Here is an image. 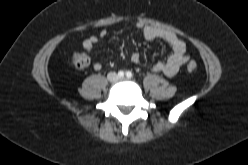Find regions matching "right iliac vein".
I'll list each match as a JSON object with an SVG mask.
<instances>
[{
    "label": "right iliac vein",
    "instance_id": "right-iliac-vein-1",
    "mask_svg": "<svg viewBox=\"0 0 248 165\" xmlns=\"http://www.w3.org/2000/svg\"><path fill=\"white\" fill-rule=\"evenodd\" d=\"M108 78H109V80H111V81H112V80H114V79L116 78V76H115L114 74H111V75H109V77H108Z\"/></svg>",
    "mask_w": 248,
    "mask_h": 165
}]
</instances>
